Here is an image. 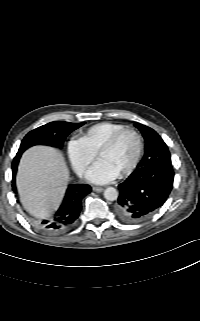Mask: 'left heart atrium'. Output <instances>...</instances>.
Listing matches in <instances>:
<instances>
[{
	"label": "left heart atrium",
	"instance_id": "39dd6f15",
	"mask_svg": "<svg viewBox=\"0 0 200 321\" xmlns=\"http://www.w3.org/2000/svg\"><path fill=\"white\" fill-rule=\"evenodd\" d=\"M119 174L104 160L99 159L88 171L89 181L104 184L113 181Z\"/></svg>",
	"mask_w": 200,
	"mask_h": 321
}]
</instances>
